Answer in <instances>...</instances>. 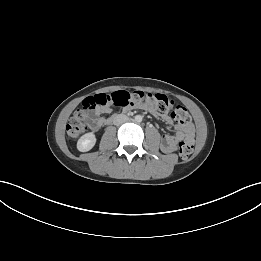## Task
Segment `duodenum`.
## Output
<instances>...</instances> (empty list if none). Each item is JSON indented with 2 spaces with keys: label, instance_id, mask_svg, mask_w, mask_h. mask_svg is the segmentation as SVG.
Masks as SVG:
<instances>
[{
  "label": "duodenum",
  "instance_id": "duodenum-1",
  "mask_svg": "<svg viewBox=\"0 0 261 261\" xmlns=\"http://www.w3.org/2000/svg\"><path fill=\"white\" fill-rule=\"evenodd\" d=\"M117 115H113L109 120H107L106 124H110L114 119H116Z\"/></svg>",
  "mask_w": 261,
  "mask_h": 261
}]
</instances>
